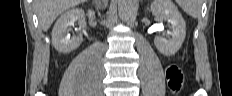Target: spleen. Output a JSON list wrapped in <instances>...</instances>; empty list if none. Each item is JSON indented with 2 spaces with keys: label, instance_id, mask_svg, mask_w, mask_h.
<instances>
[{
  "label": "spleen",
  "instance_id": "3e777b00",
  "mask_svg": "<svg viewBox=\"0 0 232 96\" xmlns=\"http://www.w3.org/2000/svg\"><path fill=\"white\" fill-rule=\"evenodd\" d=\"M182 10L193 18H198L201 15L200 0H176Z\"/></svg>",
  "mask_w": 232,
  "mask_h": 96
}]
</instances>
